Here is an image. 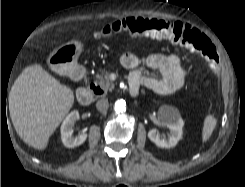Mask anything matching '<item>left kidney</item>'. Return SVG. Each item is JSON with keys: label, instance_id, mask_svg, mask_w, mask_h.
Here are the masks:
<instances>
[{"label": "left kidney", "instance_id": "1", "mask_svg": "<svg viewBox=\"0 0 245 187\" xmlns=\"http://www.w3.org/2000/svg\"><path fill=\"white\" fill-rule=\"evenodd\" d=\"M158 119L169 128V138L160 137L156 129L148 132V138L160 148H172L176 146L182 138V128L184 126V121L180 116L179 110L172 106L163 105L158 110Z\"/></svg>", "mask_w": 245, "mask_h": 187}]
</instances>
